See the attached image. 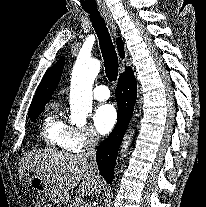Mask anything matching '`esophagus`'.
<instances>
[{"mask_svg": "<svg viewBox=\"0 0 206 207\" xmlns=\"http://www.w3.org/2000/svg\"><path fill=\"white\" fill-rule=\"evenodd\" d=\"M101 14L104 20L106 21L107 25L111 28L113 35L115 36L116 35V24L113 20L111 13L109 12V10H102Z\"/></svg>", "mask_w": 206, "mask_h": 207, "instance_id": "1", "label": "esophagus"}]
</instances>
